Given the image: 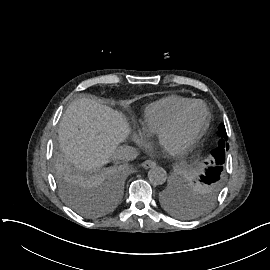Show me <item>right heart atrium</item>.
<instances>
[{
	"instance_id": "d8ad5b80",
	"label": "right heart atrium",
	"mask_w": 270,
	"mask_h": 270,
	"mask_svg": "<svg viewBox=\"0 0 270 270\" xmlns=\"http://www.w3.org/2000/svg\"><path fill=\"white\" fill-rule=\"evenodd\" d=\"M151 135L148 133H140L135 135L132 140L135 142L137 150L143 148L151 140Z\"/></svg>"
}]
</instances>
